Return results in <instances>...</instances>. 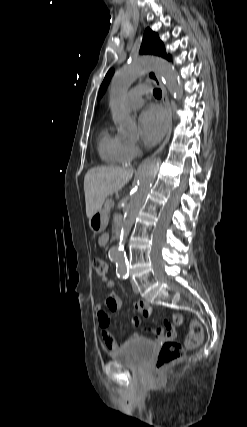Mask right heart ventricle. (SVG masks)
Returning <instances> with one entry per match:
<instances>
[{
    "mask_svg": "<svg viewBox=\"0 0 247 427\" xmlns=\"http://www.w3.org/2000/svg\"><path fill=\"white\" fill-rule=\"evenodd\" d=\"M98 152L104 162L112 165L123 164L131 159L128 141L108 129H104L99 136Z\"/></svg>",
    "mask_w": 247,
    "mask_h": 427,
    "instance_id": "obj_1",
    "label": "right heart ventricle"
}]
</instances>
